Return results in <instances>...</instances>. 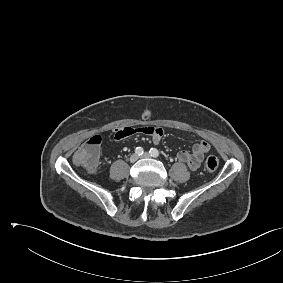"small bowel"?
<instances>
[{"mask_svg":"<svg viewBox=\"0 0 283 283\" xmlns=\"http://www.w3.org/2000/svg\"><path fill=\"white\" fill-rule=\"evenodd\" d=\"M114 140L120 141L134 134L142 133L151 136L154 143H158L163 137V129L157 126H146L141 128L121 127L113 130ZM210 150V144L201 140L197 142L191 151L180 150L177 153V159L185 163L191 170H196L204 159V156Z\"/></svg>","mask_w":283,"mask_h":283,"instance_id":"c3829d8e","label":"small bowel"}]
</instances>
